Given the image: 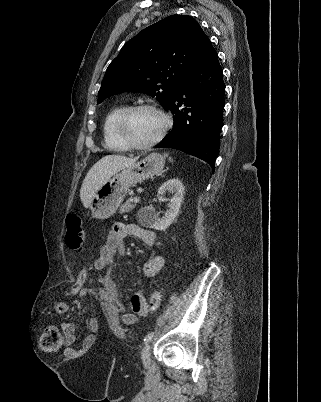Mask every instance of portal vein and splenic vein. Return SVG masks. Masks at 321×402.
<instances>
[{
    "label": "portal vein and splenic vein",
    "mask_w": 321,
    "mask_h": 402,
    "mask_svg": "<svg viewBox=\"0 0 321 402\" xmlns=\"http://www.w3.org/2000/svg\"><path fill=\"white\" fill-rule=\"evenodd\" d=\"M139 199L140 198L138 196H135L133 200H134V202H139Z\"/></svg>",
    "instance_id": "1"
}]
</instances>
